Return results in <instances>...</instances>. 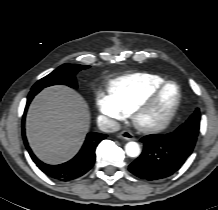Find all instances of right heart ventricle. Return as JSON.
I'll return each mask as SVG.
<instances>
[{
  "label": "right heart ventricle",
  "instance_id": "obj_1",
  "mask_svg": "<svg viewBox=\"0 0 218 210\" xmlns=\"http://www.w3.org/2000/svg\"><path fill=\"white\" fill-rule=\"evenodd\" d=\"M165 79L152 73H135L118 78L110 84V95L122 108L125 114L143 101Z\"/></svg>",
  "mask_w": 218,
  "mask_h": 210
}]
</instances>
